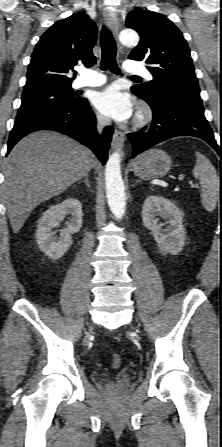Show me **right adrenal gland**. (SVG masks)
I'll return each mask as SVG.
<instances>
[{
  "mask_svg": "<svg viewBox=\"0 0 222 447\" xmlns=\"http://www.w3.org/2000/svg\"><path fill=\"white\" fill-rule=\"evenodd\" d=\"M82 182H84L89 188L91 187L90 182H89V175L88 174H86L84 176V180H81L78 183H82Z\"/></svg>",
  "mask_w": 222,
  "mask_h": 447,
  "instance_id": "obj_1",
  "label": "right adrenal gland"
}]
</instances>
